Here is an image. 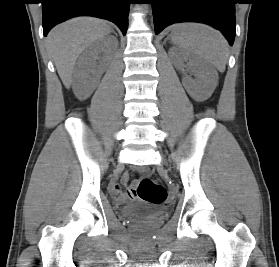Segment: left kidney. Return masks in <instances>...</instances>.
I'll list each match as a JSON object with an SVG mask.
<instances>
[{
  "mask_svg": "<svg viewBox=\"0 0 279 267\" xmlns=\"http://www.w3.org/2000/svg\"><path fill=\"white\" fill-rule=\"evenodd\" d=\"M185 61H188V66L196 76L195 80L189 76L183 77L182 84L187 93L199 102L208 99L216 87L217 72L201 58L189 52L181 51L173 58L175 67L181 71H184Z\"/></svg>",
  "mask_w": 279,
  "mask_h": 267,
  "instance_id": "5707ae66",
  "label": "left kidney"
}]
</instances>
